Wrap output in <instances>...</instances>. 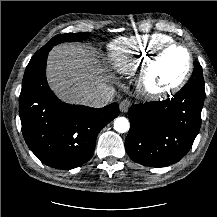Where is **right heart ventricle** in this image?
<instances>
[{
  "instance_id": "1",
  "label": "right heart ventricle",
  "mask_w": 217,
  "mask_h": 217,
  "mask_svg": "<svg viewBox=\"0 0 217 217\" xmlns=\"http://www.w3.org/2000/svg\"><path fill=\"white\" fill-rule=\"evenodd\" d=\"M172 42L164 34L120 37L108 46L109 62L112 67L123 74L139 69L158 48Z\"/></svg>"
}]
</instances>
